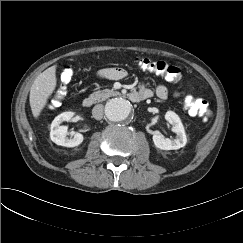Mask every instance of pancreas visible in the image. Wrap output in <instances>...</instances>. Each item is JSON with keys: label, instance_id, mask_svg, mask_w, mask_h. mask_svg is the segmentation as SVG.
Instances as JSON below:
<instances>
[{"label": "pancreas", "instance_id": "pancreas-1", "mask_svg": "<svg viewBox=\"0 0 243 243\" xmlns=\"http://www.w3.org/2000/svg\"><path fill=\"white\" fill-rule=\"evenodd\" d=\"M120 93L118 91H115L114 89H104V90H98L92 94H90L89 98L96 102H103L106 99L118 96Z\"/></svg>", "mask_w": 243, "mask_h": 243}]
</instances>
